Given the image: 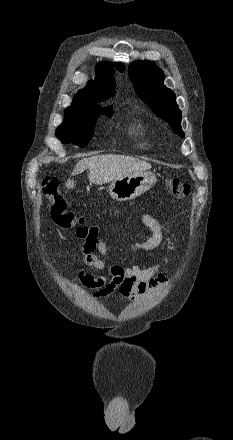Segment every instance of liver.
<instances>
[{"label":"liver","mask_w":233,"mask_h":440,"mask_svg":"<svg viewBox=\"0 0 233 440\" xmlns=\"http://www.w3.org/2000/svg\"><path fill=\"white\" fill-rule=\"evenodd\" d=\"M150 168V163L125 155H97L81 159L74 167L72 175L89 169L90 182L102 185ZM65 185L68 189L75 187L74 181L70 179Z\"/></svg>","instance_id":"liver-1"}]
</instances>
